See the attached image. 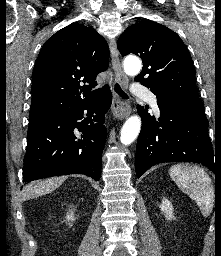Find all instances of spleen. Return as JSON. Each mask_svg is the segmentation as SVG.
<instances>
[{
  "label": "spleen",
  "instance_id": "3e777b00",
  "mask_svg": "<svg viewBox=\"0 0 221 256\" xmlns=\"http://www.w3.org/2000/svg\"><path fill=\"white\" fill-rule=\"evenodd\" d=\"M177 186L193 199L201 213L208 216L214 206V188L208 174L198 166L176 164L169 170Z\"/></svg>",
  "mask_w": 221,
  "mask_h": 256
}]
</instances>
